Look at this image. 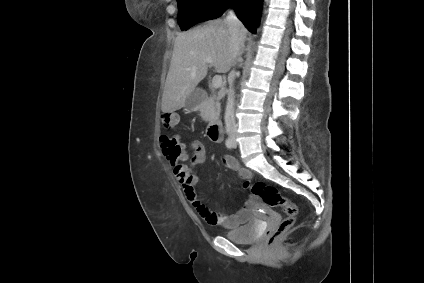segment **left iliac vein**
Here are the masks:
<instances>
[{
  "instance_id": "left-iliac-vein-1",
  "label": "left iliac vein",
  "mask_w": 424,
  "mask_h": 283,
  "mask_svg": "<svg viewBox=\"0 0 424 283\" xmlns=\"http://www.w3.org/2000/svg\"><path fill=\"white\" fill-rule=\"evenodd\" d=\"M232 143H233V147L235 148L237 146L236 140L234 139Z\"/></svg>"
}]
</instances>
